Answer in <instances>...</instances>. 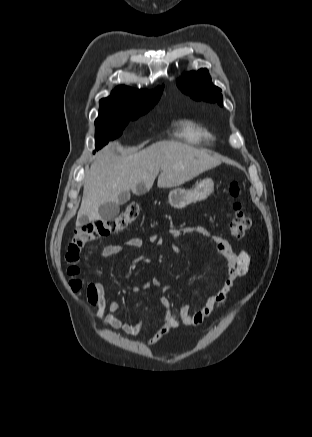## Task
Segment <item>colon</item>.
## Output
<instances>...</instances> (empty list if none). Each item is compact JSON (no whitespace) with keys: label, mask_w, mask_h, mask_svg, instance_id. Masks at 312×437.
<instances>
[{"label":"colon","mask_w":312,"mask_h":437,"mask_svg":"<svg viewBox=\"0 0 312 437\" xmlns=\"http://www.w3.org/2000/svg\"><path fill=\"white\" fill-rule=\"evenodd\" d=\"M229 193L233 198L240 195V185L237 181H232L229 186ZM234 217L230 222V234L234 238H242L249 231L252 221L249 214L244 210L242 204L236 201L233 205ZM140 213V205L129 202L122 211L111 218H98L79 227L71 237L65 254V259L69 264L67 273L70 277L69 286L74 293H80L85 288V282L79 277L80 268L77 263L83 247L96 239L108 236L124 229L132 223Z\"/></svg>","instance_id":"1"}]
</instances>
